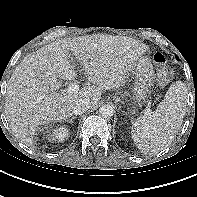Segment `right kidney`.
<instances>
[{
  "label": "right kidney",
  "mask_w": 197,
  "mask_h": 197,
  "mask_svg": "<svg viewBox=\"0 0 197 197\" xmlns=\"http://www.w3.org/2000/svg\"><path fill=\"white\" fill-rule=\"evenodd\" d=\"M68 135V129L63 125L52 130L50 140L62 142L68 137Z\"/></svg>",
  "instance_id": "ca27d5eb"
}]
</instances>
